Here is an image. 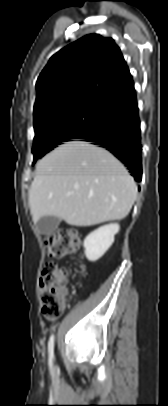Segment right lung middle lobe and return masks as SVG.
I'll list each match as a JSON object with an SVG mask.
<instances>
[{
  "mask_svg": "<svg viewBox=\"0 0 168 406\" xmlns=\"http://www.w3.org/2000/svg\"><path fill=\"white\" fill-rule=\"evenodd\" d=\"M106 115L105 100H83L34 122L33 164L62 142L77 139L93 129Z\"/></svg>",
  "mask_w": 168,
  "mask_h": 406,
  "instance_id": "obj_1",
  "label": "right lung middle lobe"
}]
</instances>
